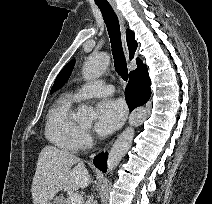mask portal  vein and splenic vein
<instances>
[{
    "mask_svg": "<svg viewBox=\"0 0 212 204\" xmlns=\"http://www.w3.org/2000/svg\"><path fill=\"white\" fill-rule=\"evenodd\" d=\"M71 204H83V197L80 194H73L70 197Z\"/></svg>",
    "mask_w": 212,
    "mask_h": 204,
    "instance_id": "portal-vein-and-splenic-vein-1",
    "label": "portal vein and splenic vein"
}]
</instances>
